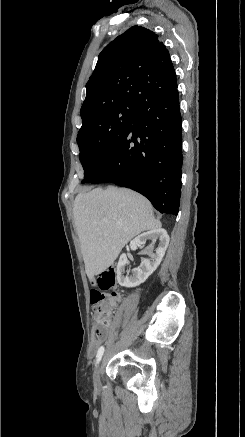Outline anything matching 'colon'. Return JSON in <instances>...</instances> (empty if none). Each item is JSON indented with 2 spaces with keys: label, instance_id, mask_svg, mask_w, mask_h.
Segmentation results:
<instances>
[{
  "label": "colon",
  "instance_id": "colon-1",
  "mask_svg": "<svg viewBox=\"0 0 245 437\" xmlns=\"http://www.w3.org/2000/svg\"><path fill=\"white\" fill-rule=\"evenodd\" d=\"M116 284L114 267L103 271L93 281L94 288L90 293V301L94 310V337L96 338H102L107 334L111 306L118 297L114 291Z\"/></svg>",
  "mask_w": 245,
  "mask_h": 437
}]
</instances>
